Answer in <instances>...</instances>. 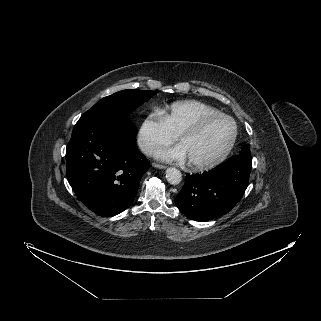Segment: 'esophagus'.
<instances>
[{"label":"esophagus","mask_w":321,"mask_h":321,"mask_svg":"<svg viewBox=\"0 0 321 321\" xmlns=\"http://www.w3.org/2000/svg\"><path fill=\"white\" fill-rule=\"evenodd\" d=\"M155 168H159V169H165L166 166L165 165H161V164H157V163H153L152 164Z\"/></svg>","instance_id":"esophagus-1"}]
</instances>
